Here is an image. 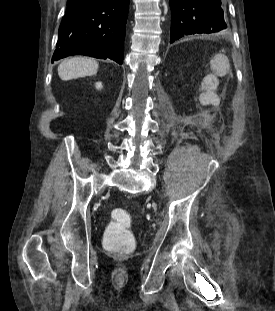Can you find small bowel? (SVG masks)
<instances>
[{
    "instance_id": "c3829d8e",
    "label": "small bowel",
    "mask_w": 275,
    "mask_h": 311,
    "mask_svg": "<svg viewBox=\"0 0 275 311\" xmlns=\"http://www.w3.org/2000/svg\"><path fill=\"white\" fill-rule=\"evenodd\" d=\"M232 56H209L208 62L211 63L202 73L198 93L200 103H204V108L208 112H219L221 108V80H226L228 75L229 62Z\"/></svg>"
}]
</instances>
